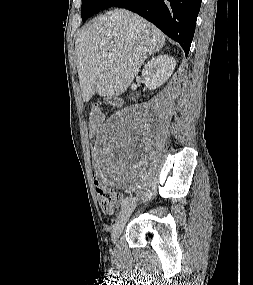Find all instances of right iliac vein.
<instances>
[{
	"label": "right iliac vein",
	"instance_id": "63e3f726",
	"mask_svg": "<svg viewBox=\"0 0 253 285\" xmlns=\"http://www.w3.org/2000/svg\"><path fill=\"white\" fill-rule=\"evenodd\" d=\"M136 204V199H133L120 213L118 216L116 223L114 225L113 231H112V241L115 243L120 234L122 233L125 224L127 223L134 207Z\"/></svg>",
	"mask_w": 253,
	"mask_h": 285
}]
</instances>
